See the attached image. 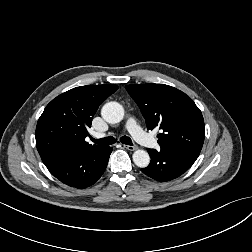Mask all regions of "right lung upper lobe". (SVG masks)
Wrapping results in <instances>:
<instances>
[{
  "instance_id": "1",
  "label": "right lung upper lobe",
  "mask_w": 252,
  "mask_h": 252,
  "mask_svg": "<svg viewBox=\"0 0 252 252\" xmlns=\"http://www.w3.org/2000/svg\"><path fill=\"white\" fill-rule=\"evenodd\" d=\"M118 89L117 85H87L73 88L53 99L36 127V147L44 164L77 150L104 147L85 141L99 105Z\"/></svg>"
}]
</instances>
